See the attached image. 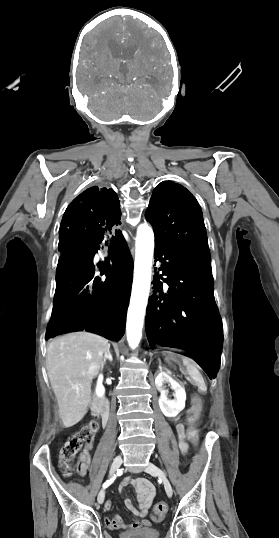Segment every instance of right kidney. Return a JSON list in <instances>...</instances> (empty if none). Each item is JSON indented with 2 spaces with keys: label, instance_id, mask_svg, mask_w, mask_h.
<instances>
[{
  "label": "right kidney",
  "instance_id": "ca27d5eb",
  "mask_svg": "<svg viewBox=\"0 0 279 538\" xmlns=\"http://www.w3.org/2000/svg\"><path fill=\"white\" fill-rule=\"evenodd\" d=\"M102 382H103V376L102 374H100V376H98L97 386H96V394L97 396H99V398H102V396H104L105 394V388L104 386H102Z\"/></svg>",
  "mask_w": 279,
  "mask_h": 538
}]
</instances>
